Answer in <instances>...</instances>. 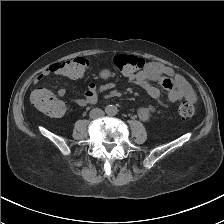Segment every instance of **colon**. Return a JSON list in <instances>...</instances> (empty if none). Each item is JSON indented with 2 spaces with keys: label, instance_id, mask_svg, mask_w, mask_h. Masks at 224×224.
<instances>
[{
  "label": "colon",
  "instance_id": "colon-1",
  "mask_svg": "<svg viewBox=\"0 0 224 224\" xmlns=\"http://www.w3.org/2000/svg\"><path fill=\"white\" fill-rule=\"evenodd\" d=\"M110 62L124 75L136 73L145 65L143 59L126 54L114 55ZM89 65V60L84 57L65 60L60 64L61 74L70 79H79L87 72ZM31 101L38 110L51 117L58 118L66 112L65 103L44 87H37L32 91ZM179 113L185 119L192 118L196 108L192 102L186 100L180 104Z\"/></svg>",
  "mask_w": 224,
  "mask_h": 224
}]
</instances>
